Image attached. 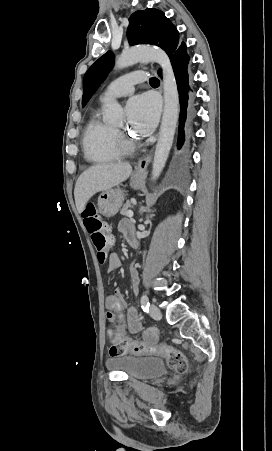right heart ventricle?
<instances>
[{"mask_svg":"<svg viewBox=\"0 0 272 451\" xmlns=\"http://www.w3.org/2000/svg\"><path fill=\"white\" fill-rule=\"evenodd\" d=\"M112 98L105 102H110ZM113 128L94 116L84 135V150L86 157L92 162H107L116 155V144L113 138Z\"/></svg>","mask_w":272,"mask_h":451,"instance_id":"1","label":"right heart ventricle"}]
</instances>
